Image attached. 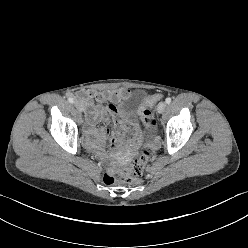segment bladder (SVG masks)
<instances>
[{
	"label": "bladder",
	"mask_w": 248,
	"mask_h": 248,
	"mask_svg": "<svg viewBox=\"0 0 248 248\" xmlns=\"http://www.w3.org/2000/svg\"><path fill=\"white\" fill-rule=\"evenodd\" d=\"M144 95L145 93L141 90L135 92L130 98L123 102L122 110L128 115L137 114L143 105Z\"/></svg>",
	"instance_id": "bladder-1"
}]
</instances>
